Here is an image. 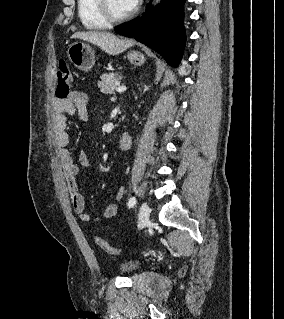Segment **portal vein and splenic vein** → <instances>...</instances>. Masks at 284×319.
Listing matches in <instances>:
<instances>
[{
    "instance_id": "1",
    "label": "portal vein and splenic vein",
    "mask_w": 284,
    "mask_h": 319,
    "mask_svg": "<svg viewBox=\"0 0 284 319\" xmlns=\"http://www.w3.org/2000/svg\"><path fill=\"white\" fill-rule=\"evenodd\" d=\"M126 89L127 88L125 86H119V87L116 88V91L119 92V93H122V92L126 91Z\"/></svg>"
}]
</instances>
